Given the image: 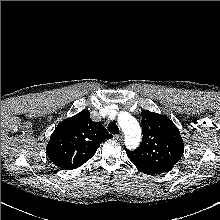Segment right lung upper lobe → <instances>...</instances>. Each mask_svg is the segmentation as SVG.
Instances as JSON below:
<instances>
[{
  "instance_id": "obj_1",
  "label": "right lung upper lobe",
  "mask_w": 220,
  "mask_h": 220,
  "mask_svg": "<svg viewBox=\"0 0 220 220\" xmlns=\"http://www.w3.org/2000/svg\"><path fill=\"white\" fill-rule=\"evenodd\" d=\"M112 137L102 124L91 120L89 111L83 110L55 128L46 154L58 167L76 169L95 154L100 143Z\"/></svg>"
}]
</instances>
